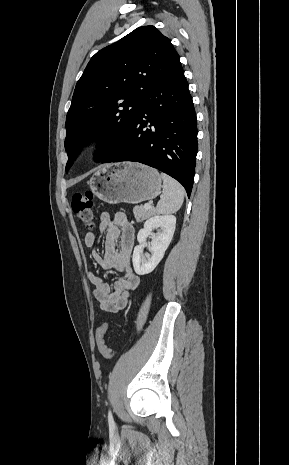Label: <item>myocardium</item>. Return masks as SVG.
<instances>
[{"label": "myocardium", "instance_id": "obj_1", "mask_svg": "<svg viewBox=\"0 0 289 465\" xmlns=\"http://www.w3.org/2000/svg\"><path fill=\"white\" fill-rule=\"evenodd\" d=\"M105 140H106V137L104 134L96 133L90 138L89 143L91 146L96 147V146H100L101 144H103Z\"/></svg>", "mask_w": 289, "mask_h": 465}]
</instances>
